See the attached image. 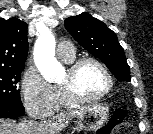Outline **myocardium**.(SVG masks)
Listing matches in <instances>:
<instances>
[{
    "label": "myocardium",
    "instance_id": "1",
    "mask_svg": "<svg viewBox=\"0 0 153 134\" xmlns=\"http://www.w3.org/2000/svg\"><path fill=\"white\" fill-rule=\"evenodd\" d=\"M87 63L97 65L103 71L108 81L106 89L94 96H82L78 94L75 89L76 74L79 69ZM67 73V80L63 83H59L58 87L62 93L63 98L69 104H83L98 101L107 96L114 87V78L109 68L101 60L95 57H81L77 60H74L68 65Z\"/></svg>",
    "mask_w": 153,
    "mask_h": 134
}]
</instances>
